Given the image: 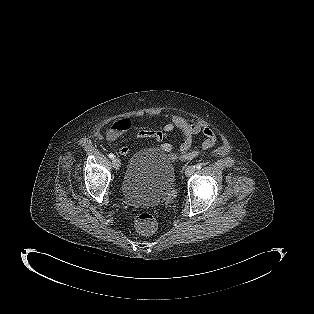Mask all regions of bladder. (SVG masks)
<instances>
[{
	"label": "bladder",
	"instance_id": "1",
	"mask_svg": "<svg viewBox=\"0 0 314 314\" xmlns=\"http://www.w3.org/2000/svg\"><path fill=\"white\" fill-rule=\"evenodd\" d=\"M175 163L156 148L136 152L130 159L121 192L133 206L155 207L172 190Z\"/></svg>",
	"mask_w": 314,
	"mask_h": 314
}]
</instances>
